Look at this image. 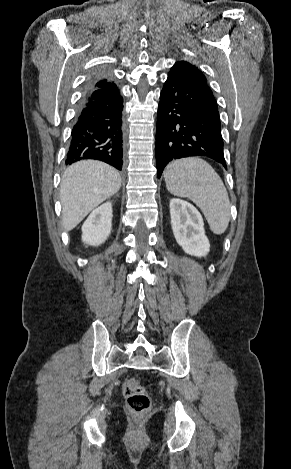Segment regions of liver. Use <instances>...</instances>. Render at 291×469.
Instances as JSON below:
<instances>
[{"mask_svg": "<svg viewBox=\"0 0 291 469\" xmlns=\"http://www.w3.org/2000/svg\"><path fill=\"white\" fill-rule=\"evenodd\" d=\"M121 187V176L113 167L98 161L77 162L64 172L60 187L62 223L74 229L93 209Z\"/></svg>", "mask_w": 291, "mask_h": 469, "instance_id": "1", "label": "liver"}]
</instances>
